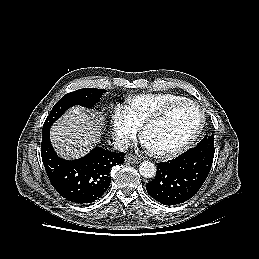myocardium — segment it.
I'll use <instances>...</instances> for the list:
<instances>
[{"label":"myocardium","mask_w":259,"mask_h":259,"mask_svg":"<svg viewBox=\"0 0 259 259\" xmlns=\"http://www.w3.org/2000/svg\"><path fill=\"white\" fill-rule=\"evenodd\" d=\"M184 105H191L194 106L200 114V121L197 126V128L194 130V132L187 138L185 141L180 143L179 145L166 149V150H154L152 148H149L146 144V134L150 127L155 125L156 123L160 122L162 119H164L168 114H170L174 109L184 106ZM205 125V113L202 107L195 101L184 99L180 101L173 102L162 109H160L157 113H155L153 116H151L149 119H147L144 124L141 127V140L146 145L149 153L153 155L156 158L160 159H171L174 158L181 153L188 150L198 139L200 136L203 128Z\"/></svg>","instance_id":"myocardium-1"}]
</instances>
